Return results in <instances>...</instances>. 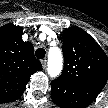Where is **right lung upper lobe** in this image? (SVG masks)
Instances as JSON below:
<instances>
[{
  "instance_id": "obj_1",
  "label": "right lung upper lobe",
  "mask_w": 108,
  "mask_h": 108,
  "mask_svg": "<svg viewBox=\"0 0 108 108\" xmlns=\"http://www.w3.org/2000/svg\"><path fill=\"white\" fill-rule=\"evenodd\" d=\"M41 69L33 45L22 40V28L12 23L0 27V103L20 98L30 76Z\"/></svg>"
}]
</instances>
